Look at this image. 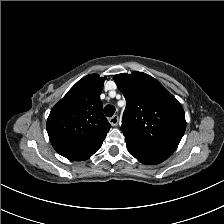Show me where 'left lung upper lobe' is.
Segmentation results:
<instances>
[{
  "label": "left lung upper lobe",
  "instance_id": "5c2ea615",
  "mask_svg": "<svg viewBox=\"0 0 224 224\" xmlns=\"http://www.w3.org/2000/svg\"><path fill=\"white\" fill-rule=\"evenodd\" d=\"M114 81L126 99L121 126L125 141L171 155L186 129L181 104L146 73H121Z\"/></svg>",
  "mask_w": 224,
  "mask_h": 224
}]
</instances>
